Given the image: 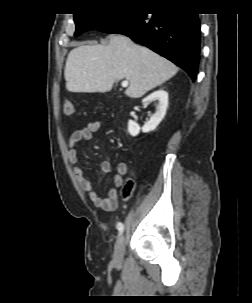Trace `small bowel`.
I'll return each instance as SVG.
<instances>
[{
  "label": "small bowel",
  "instance_id": "obj_1",
  "mask_svg": "<svg viewBox=\"0 0 252 303\" xmlns=\"http://www.w3.org/2000/svg\"><path fill=\"white\" fill-rule=\"evenodd\" d=\"M106 127L104 121H91L81 129L74 131L69 139L68 144V158L72 166L74 176L80 186V188L86 192L89 199L99 209L105 211H113L118 204V192L116 188H111L108 192V196L101 197L94 189V185L90 178L82 170L79 159L77 145L79 143L88 141L92 138L93 133L103 130ZM100 169L103 173H109L111 171V163L108 160H103L100 163ZM127 172V165L125 162H120L117 165L116 173L113 176V183L115 187L123 185V175Z\"/></svg>",
  "mask_w": 252,
  "mask_h": 303
}]
</instances>
